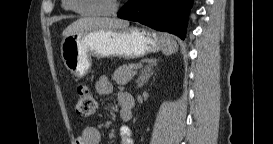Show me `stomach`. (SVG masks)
Returning a JSON list of instances; mask_svg holds the SVG:
<instances>
[{
    "label": "stomach",
    "instance_id": "stomach-1",
    "mask_svg": "<svg viewBox=\"0 0 273 144\" xmlns=\"http://www.w3.org/2000/svg\"><path fill=\"white\" fill-rule=\"evenodd\" d=\"M162 49L160 36L140 28L94 29L65 37L61 42V56L72 75L84 77L92 57H143Z\"/></svg>",
    "mask_w": 273,
    "mask_h": 144
}]
</instances>
